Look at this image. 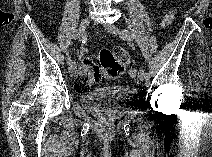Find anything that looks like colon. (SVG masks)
Listing matches in <instances>:
<instances>
[{
    "label": "colon",
    "mask_w": 212,
    "mask_h": 157,
    "mask_svg": "<svg viewBox=\"0 0 212 157\" xmlns=\"http://www.w3.org/2000/svg\"><path fill=\"white\" fill-rule=\"evenodd\" d=\"M99 61L100 65L89 61L84 68H80L75 85L78 92H85L90 87L98 85L103 77L118 79L131 64L128 52L121 48L102 49L99 53Z\"/></svg>",
    "instance_id": "1"
}]
</instances>
